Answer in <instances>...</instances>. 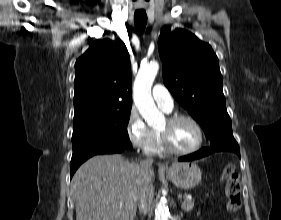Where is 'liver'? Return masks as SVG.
<instances>
[{"instance_id": "obj_1", "label": "liver", "mask_w": 281, "mask_h": 220, "mask_svg": "<svg viewBox=\"0 0 281 220\" xmlns=\"http://www.w3.org/2000/svg\"><path fill=\"white\" fill-rule=\"evenodd\" d=\"M154 179L152 164L142 166L118 154L90 158L71 181L76 220H134L138 188L153 187Z\"/></svg>"}]
</instances>
